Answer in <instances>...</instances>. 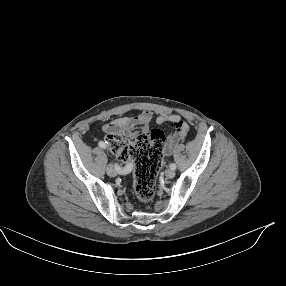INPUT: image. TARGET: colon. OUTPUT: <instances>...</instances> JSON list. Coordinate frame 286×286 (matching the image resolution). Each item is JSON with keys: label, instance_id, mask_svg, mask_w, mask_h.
Returning <instances> with one entry per match:
<instances>
[{"label": "colon", "instance_id": "colon-1", "mask_svg": "<svg viewBox=\"0 0 286 286\" xmlns=\"http://www.w3.org/2000/svg\"><path fill=\"white\" fill-rule=\"evenodd\" d=\"M182 126V124H181ZM110 152L122 162H134V194L142 203L152 201L155 194V179L165 146V134L152 129L149 135L140 134L131 140L118 134L106 137Z\"/></svg>", "mask_w": 286, "mask_h": 286}]
</instances>
